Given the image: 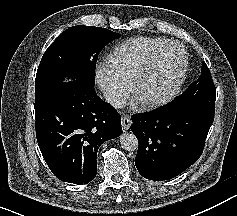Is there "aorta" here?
<instances>
[{"instance_id":"762f6f07","label":"aorta","mask_w":237,"mask_h":216,"mask_svg":"<svg viewBox=\"0 0 237 216\" xmlns=\"http://www.w3.org/2000/svg\"><path fill=\"white\" fill-rule=\"evenodd\" d=\"M119 142L121 148L126 151H136L139 146L138 138L134 133L123 132L119 136Z\"/></svg>"}]
</instances>
